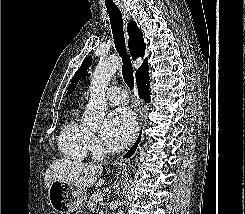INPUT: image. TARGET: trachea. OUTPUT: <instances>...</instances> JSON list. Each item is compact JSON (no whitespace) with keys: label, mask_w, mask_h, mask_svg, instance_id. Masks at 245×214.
<instances>
[{"label":"trachea","mask_w":245,"mask_h":214,"mask_svg":"<svg viewBox=\"0 0 245 214\" xmlns=\"http://www.w3.org/2000/svg\"><path fill=\"white\" fill-rule=\"evenodd\" d=\"M110 18L115 48L122 59V75L126 85L133 90L134 77L130 56L126 52L121 11L115 4L105 3Z\"/></svg>","instance_id":"obj_1"}]
</instances>
